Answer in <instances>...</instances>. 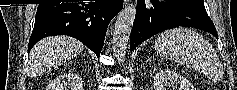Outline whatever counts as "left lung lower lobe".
I'll use <instances>...</instances> for the list:
<instances>
[{
    "mask_svg": "<svg viewBox=\"0 0 237 90\" xmlns=\"http://www.w3.org/2000/svg\"><path fill=\"white\" fill-rule=\"evenodd\" d=\"M180 26L195 27L218 38L203 0H138L130 36L131 52L149 37Z\"/></svg>",
    "mask_w": 237,
    "mask_h": 90,
    "instance_id": "0a47b994",
    "label": "left lung lower lobe"
}]
</instances>
